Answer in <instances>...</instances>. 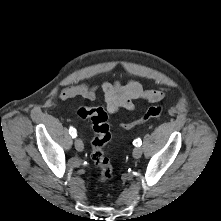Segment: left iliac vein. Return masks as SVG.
Wrapping results in <instances>:
<instances>
[{"mask_svg": "<svg viewBox=\"0 0 221 221\" xmlns=\"http://www.w3.org/2000/svg\"><path fill=\"white\" fill-rule=\"evenodd\" d=\"M142 155V148L141 147H136L134 150H133V156L134 158H140Z\"/></svg>", "mask_w": 221, "mask_h": 221, "instance_id": "1", "label": "left iliac vein"}]
</instances>
